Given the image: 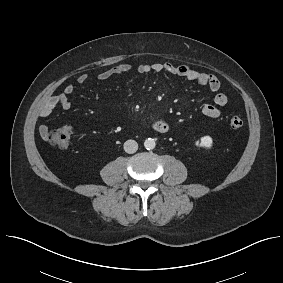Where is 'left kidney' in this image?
Instances as JSON below:
<instances>
[{
	"instance_id": "obj_1",
	"label": "left kidney",
	"mask_w": 283,
	"mask_h": 283,
	"mask_svg": "<svg viewBox=\"0 0 283 283\" xmlns=\"http://www.w3.org/2000/svg\"><path fill=\"white\" fill-rule=\"evenodd\" d=\"M195 145L206 148V149H210L213 145V139L211 136L206 135V136L201 137L200 141H196Z\"/></svg>"
}]
</instances>
